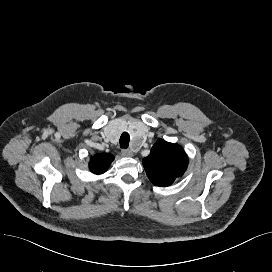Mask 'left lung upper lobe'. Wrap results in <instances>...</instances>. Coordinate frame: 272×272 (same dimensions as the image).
Listing matches in <instances>:
<instances>
[{"mask_svg":"<svg viewBox=\"0 0 272 272\" xmlns=\"http://www.w3.org/2000/svg\"><path fill=\"white\" fill-rule=\"evenodd\" d=\"M143 165L154 185L169 186L184 174L188 166V157L178 144L159 139L150 154L143 159Z\"/></svg>","mask_w":272,"mask_h":272,"instance_id":"1","label":"left lung upper lobe"}]
</instances>
